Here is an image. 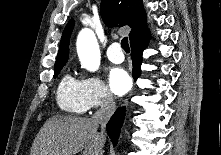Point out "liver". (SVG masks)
I'll use <instances>...</instances> for the list:
<instances>
[{
	"instance_id": "obj_1",
	"label": "liver",
	"mask_w": 221,
	"mask_h": 155,
	"mask_svg": "<svg viewBox=\"0 0 221 155\" xmlns=\"http://www.w3.org/2000/svg\"><path fill=\"white\" fill-rule=\"evenodd\" d=\"M90 118L56 115L38 132L31 155H101L106 138Z\"/></svg>"
}]
</instances>
